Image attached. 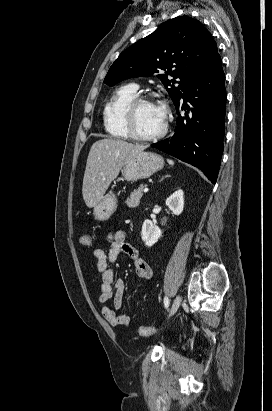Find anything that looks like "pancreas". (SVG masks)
Here are the masks:
<instances>
[{"instance_id": "pancreas-1", "label": "pancreas", "mask_w": 272, "mask_h": 411, "mask_svg": "<svg viewBox=\"0 0 272 411\" xmlns=\"http://www.w3.org/2000/svg\"><path fill=\"white\" fill-rule=\"evenodd\" d=\"M144 188H145L144 185H140L137 190H135L134 192L130 194V196L126 200V204L129 208H135L139 205L140 199L143 196Z\"/></svg>"}]
</instances>
